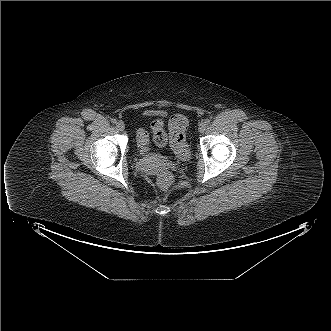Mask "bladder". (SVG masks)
Wrapping results in <instances>:
<instances>
[{
	"label": "bladder",
	"instance_id": "31cf9c89",
	"mask_svg": "<svg viewBox=\"0 0 331 331\" xmlns=\"http://www.w3.org/2000/svg\"><path fill=\"white\" fill-rule=\"evenodd\" d=\"M147 157L150 158V159L155 160V159L160 158L161 155L160 154L153 153V154H148Z\"/></svg>",
	"mask_w": 331,
	"mask_h": 331
}]
</instances>
